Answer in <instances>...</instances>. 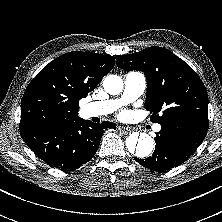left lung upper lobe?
Returning <instances> with one entry per match:
<instances>
[{"label": "left lung upper lobe", "mask_w": 222, "mask_h": 222, "mask_svg": "<svg viewBox=\"0 0 222 222\" xmlns=\"http://www.w3.org/2000/svg\"><path fill=\"white\" fill-rule=\"evenodd\" d=\"M117 66L144 72L145 108L152 113V122L195 119L208 123V95L202 80L171 51L152 46L134 54L118 55Z\"/></svg>", "instance_id": "1"}]
</instances>
